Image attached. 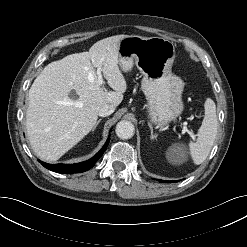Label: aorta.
<instances>
[{"instance_id":"obj_1","label":"aorta","mask_w":247,"mask_h":247,"mask_svg":"<svg viewBox=\"0 0 247 247\" xmlns=\"http://www.w3.org/2000/svg\"><path fill=\"white\" fill-rule=\"evenodd\" d=\"M115 131L120 139H129L134 135V125L130 121L121 120L117 123Z\"/></svg>"}]
</instances>
